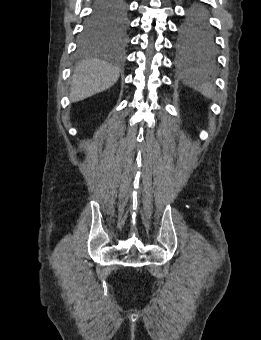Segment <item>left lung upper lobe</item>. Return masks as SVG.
Wrapping results in <instances>:
<instances>
[{"label": "left lung upper lobe", "instance_id": "obj_1", "mask_svg": "<svg viewBox=\"0 0 261 340\" xmlns=\"http://www.w3.org/2000/svg\"><path fill=\"white\" fill-rule=\"evenodd\" d=\"M178 44L183 51L210 57L216 53L214 34L201 6H194L189 11L186 21L181 25Z\"/></svg>", "mask_w": 261, "mask_h": 340}]
</instances>
